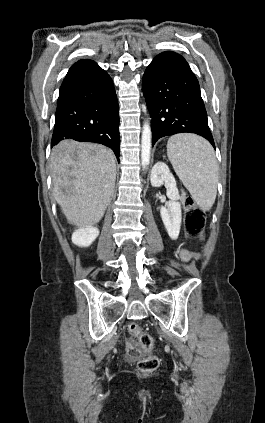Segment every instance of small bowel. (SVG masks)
Here are the masks:
<instances>
[{
  "mask_svg": "<svg viewBox=\"0 0 265 423\" xmlns=\"http://www.w3.org/2000/svg\"><path fill=\"white\" fill-rule=\"evenodd\" d=\"M177 255H178L179 259H181L183 261H189V260H191L193 258H199V255L198 254L193 253V252H191L189 250H186V249H180V250H178ZM126 345H127V350L130 352V354L133 351H135V349H134L133 344H132L131 341L128 340L127 343H126Z\"/></svg>",
  "mask_w": 265,
  "mask_h": 423,
  "instance_id": "c3829d8e",
  "label": "small bowel"
}]
</instances>
